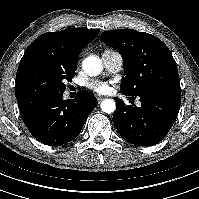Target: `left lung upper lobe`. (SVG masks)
<instances>
[{
	"label": "left lung upper lobe",
	"instance_id": "obj_1",
	"mask_svg": "<svg viewBox=\"0 0 199 199\" xmlns=\"http://www.w3.org/2000/svg\"><path fill=\"white\" fill-rule=\"evenodd\" d=\"M100 40L123 56L124 73L120 90L129 96L146 92H181L175 60L157 37L132 29L104 31Z\"/></svg>",
	"mask_w": 199,
	"mask_h": 199
}]
</instances>
